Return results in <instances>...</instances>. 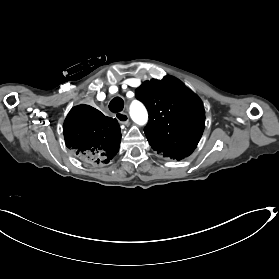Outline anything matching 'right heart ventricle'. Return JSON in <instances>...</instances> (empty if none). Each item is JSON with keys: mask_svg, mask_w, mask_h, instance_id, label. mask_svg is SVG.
Listing matches in <instances>:
<instances>
[{"mask_svg": "<svg viewBox=\"0 0 279 279\" xmlns=\"http://www.w3.org/2000/svg\"><path fill=\"white\" fill-rule=\"evenodd\" d=\"M107 56L104 54H97L94 56V60L96 61H100V60H104ZM136 94L133 91H128L124 97H123V101L126 105V107H128L135 99Z\"/></svg>", "mask_w": 279, "mask_h": 279, "instance_id": "obj_1", "label": "right heart ventricle"}]
</instances>
